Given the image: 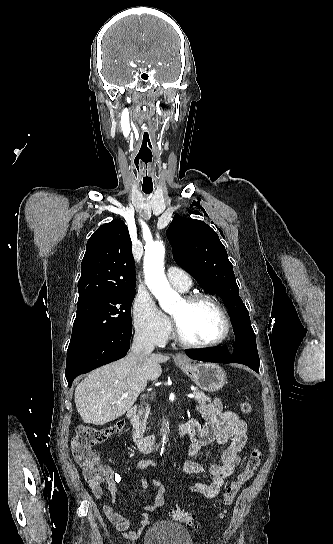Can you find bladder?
Masks as SVG:
<instances>
[{
    "label": "bladder",
    "mask_w": 333,
    "mask_h": 544,
    "mask_svg": "<svg viewBox=\"0 0 333 544\" xmlns=\"http://www.w3.org/2000/svg\"><path fill=\"white\" fill-rule=\"evenodd\" d=\"M143 544H193V541L184 526L169 521H157L145 531Z\"/></svg>",
    "instance_id": "bladder-1"
}]
</instances>
